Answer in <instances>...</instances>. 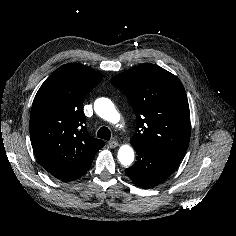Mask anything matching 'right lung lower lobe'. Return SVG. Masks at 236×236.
Instances as JSON below:
<instances>
[{"instance_id": "1", "label": "right lung lower lobe", "mask_w": 236, "mask_h": 236, "mask_svg": "<svg viewBox=\"0 0 236 236\" xmlns=\"http://www.w3.org/2000/svg\"><path fill=\"white\" fill-rule=\"evenodd\" d=\"M91 163H92V161L77 168V169H72V170H68L65 172H61V173L53 175V176L63 182L72 181L74 179H77L81 175H83L89 169V167L91 166Z\"/></svg>"}]
</instances>
